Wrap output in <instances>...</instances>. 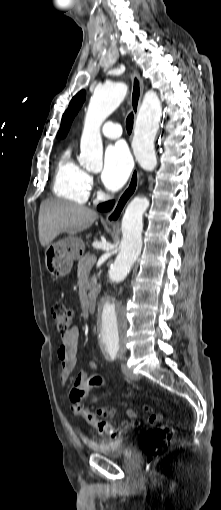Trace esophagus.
Returning a JSON list of instances; mask_svg holds the SVG:
<instances>
[{
  "label": "esophagus",
  "mask_w": 221,
  "mask_h": 510,
  "mask_svg": "<svg viewBox=\"0 0 221 510\" xmlns=\"http://www.w3.org/2000/svg\"><path fill=\"white\" fill-rule=\"evenodd\" d=\"M131 81L132 87L130 101L134 117L136 119L141 105L144 85L143 80L141 79L139 73L136 70H133L131 73ZM139 180L140 172L138 171L137 168H134L127 186L117 198L116 203L112 210L106 215L105 218L106 223L110 225H116L118 223V220L121 217L125 207L127 206L128 202L132 199V197L135 195L138 189Z\"/></svg>",
  "instance_id": "34e87169"
}]
</instances>
